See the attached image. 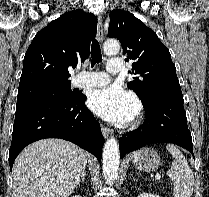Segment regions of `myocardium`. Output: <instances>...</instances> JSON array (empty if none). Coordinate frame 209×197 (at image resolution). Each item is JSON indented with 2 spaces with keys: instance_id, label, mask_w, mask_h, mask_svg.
<instances>
[{
  "instance_id": "obj_1",
  "label": "myocardium",
  "mask_w": 209,
  "mask_h": 197,
  "mask_svg": "<svg viewBox=\"0 0 209 197\" xmlns=\"http://www.w3.org/2000/svg\"><path fill=\"white\" fill-rule=\"evenodd\" d=\"M140 112H141V107L139 106V107L137 108V113H138V115H140Z\"/></svg>"
}]
</instances>
